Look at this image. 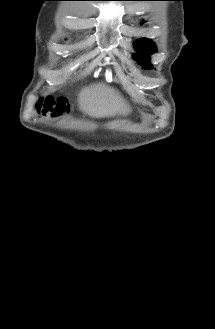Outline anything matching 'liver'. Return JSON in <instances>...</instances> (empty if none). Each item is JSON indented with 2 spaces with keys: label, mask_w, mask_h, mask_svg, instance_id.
<instances>
[{
  "label": "liver",
  "mask_w": 215,
  "mask_h": 329,
  "mask_svg": "<svg viewBox=\"0 0 215 329\" xmlns=\"http://www.w3.org/2000/svg\"><path fill=\"white\" fill-rule=\"evenodd\" d=\"M78 105L81 111L95 118L127 115L131 112L129 104L120 93L104 83L84 87L79 93Z\"/></svg>",
  "instance_id": "6515ba94"
}]
</instances>
